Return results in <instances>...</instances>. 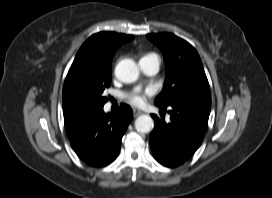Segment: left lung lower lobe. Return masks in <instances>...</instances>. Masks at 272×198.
<instances>
[{
  "mask_svg": "<svg viewBox=\"0 0 272 198\" xmlns=\"http://www.w3.org/2000/svg\"><path fill=\"white\" fill-rule=\"evenodd\" d=\"M157 106L162 109V118L151 115L155 121L150 134L151 150L159 163L176 167L189 159L201 145L211 108L189 104ZM167 107L171 115L168 123L163 116Z\"/></svg>",
  "mask_w": 272,
  "mask_h": 198,
  "instance_id": "left-lung-lower-lobe-1",
  "label": "left lung lower lobe"
}]
</instances>
